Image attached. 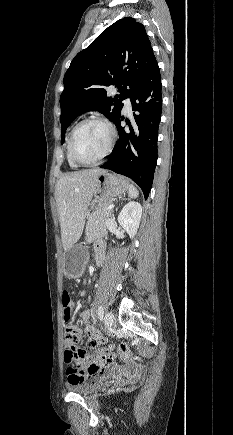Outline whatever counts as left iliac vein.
<instances>
[{
	"mask_svg": "<svg viewBox=\"0 0 233 435\" xmlns=\"http://www.w3.org/2000/svg\"><path fill=\"white\" fill-rule=\"evenodd\" d=\"M114 322H115L114 314L112 312H110V311L107 312L105 314V317H104L105 328L107 330L111 329L113 327V325H114Z\"/></svg>",
	"mask_w": 233,
	"mask_h": 435,
	"instance_id": "left-iliac-vein-1",
	"label": "left iliac vein"
}]
</instances>
